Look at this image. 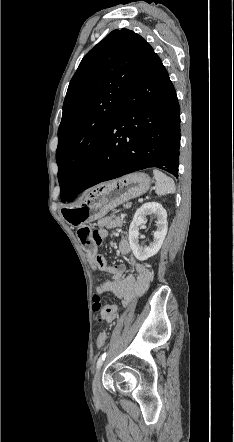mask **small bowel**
I'll return each mask as SVG.
<instances>
[{"instance_id": "c3829d8e", "label": "small bowel", "mask_w": 234, "mask_h": 442, "mask_svg": "<svg viewBox=\"0 0 234 442\" xmlns=\"http://www.w3.org/2000/svg\"><path fill=\"white\" fill-rule=\"evenodd\" d=\"M123 218L118 215H111L101 219L98 222L99 229L97 231L101 241L108 237V229L121 226ZM119 253L126 259L127 266L134 269V273L125 272V265H108L106 259L98 254H89L91 264L99 271L106 272L110 275L109 279L100 282L96 286L97 294L107 292L114 293L122 304L127 305L136 295H141L148 288L151 281V273L147 267L135 261L131 256V246L126 238L119 242ZM118 317V306L115 304L105 305L100 314L94 316V321L99 326L103 322H113Z\"/></svg>"}]
</instances>
